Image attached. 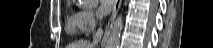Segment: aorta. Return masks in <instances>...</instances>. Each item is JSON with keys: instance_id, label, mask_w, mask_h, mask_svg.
Listing matches in <instances>:
<instances>
[{"instance_id": "762f6f07", "label": "aorta", "mask_w": 213, "mask_h": 48, "mask_svg": "<svg viewBox=\"0 0 213 48\" xmlns=\"http://www.w3.org/2000/svg\"><path fill=\"white\" fill-rule=\"evenodd\" d=\"M79 1L83 5H90L98 2V0H79ZM122 29H123V16L122 14H119L112 23L110 31L107 35L105 48H119Z\"/></svg>"}]
</instances>
